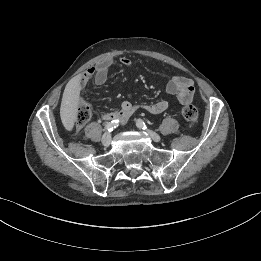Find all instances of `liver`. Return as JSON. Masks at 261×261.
<instances>
[{
    "mask_svg": "<svg viewBox=\"0 0 261 261\" xmlns=\"http://www.w3.org/2000/svg\"><path fill=\"white\" fill-rule=\"evenodd\" d=\"M80 90V80L74 77L67 83L63 92L60 115L63 123L69 127H72L76 120Z\"/></svg>",
    "mask_w": 261,
    "mask_h": 261,
    "instance_id": "obj_1",
    "label": "liver"
}]
</instances>
